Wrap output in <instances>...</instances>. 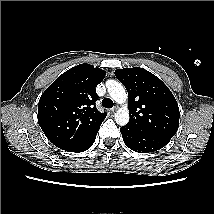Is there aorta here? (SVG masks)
I'll use <instances>...</instances> for the list:
<instances>
[{
	"instance_id": "aorta-1",
	"label": "aorta",
	"mask_w": 214,
	"mask_h": 214,
	"mask_svg": "<svg viewBox=\"0 0 214 214\" xmlns=\"http://www.w3.org/2000/svg\"><path fill=\"white\" fill-rule=\"evenodd\" d=\"M106 87L110 97L118 104H123L115 113V121L120 126H125L129 122V110L126 105L127 93L121 83L115 80H107Z\"/></svg>"
}]
</instances>
